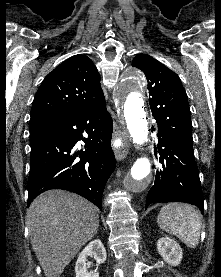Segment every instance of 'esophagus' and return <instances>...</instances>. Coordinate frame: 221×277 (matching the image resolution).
I'll return each mask as SVG.
<instances>
[{"mask_svg": "<svg viewBox=\"0 0 221 277\" xmlns=\"http://www.w3.org/2000/svg\"><path fill=\"white\" fill-rule=\"evenodd\" d=\"M113 138L114 139L121 138L125 141L123 146L118 148L115 151V157L117 161L124 160L129 153V145L126 142L128 138V133L121 127V125L117 121H114V125H113Z\"/></svg>", "mask_w": 221, "mask_h": 277, "instance_id": "esophagus-1", "label": "esophagus"}]
</instances>
